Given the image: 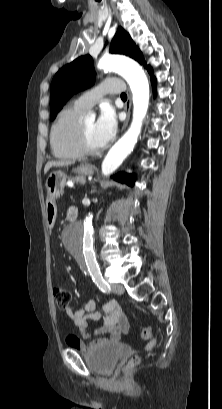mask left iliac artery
Returning <instances> with one entry per match:
<instances>
[{"label": "left iliac artery", "mask_w": 222, "mask_h": 409, "mask_svg": "<svg viewBox=\"0 0 222 409\" xmlns=\"http://www.w3.org/2000/svg\"><path fill=\"white\" fill-rule=\"evenodd\" d=\"M90 274L92 276L93 281L95 284L98 286V288L103 292V293H109L111 290L110 285L104 280L100 268L96 267L93 268L90 271Z\"/></svg>", "instance_id": "left-iliac-artery-1"}]
</instances>
